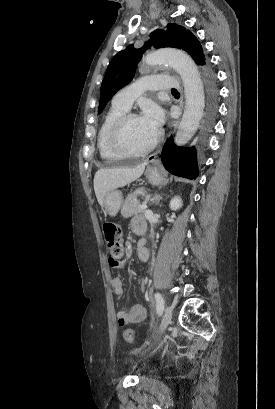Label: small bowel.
<instances>
[{
	"mask_svg": "<svg viewBox=\"0 0 275 409\" xmlns=\"http://www.w3.org/2000/svg\"><path fill=\"white\" fill-rule=\"evenodd\" d=\"M137 220H139V222H140V221L143 220V219H141V218H136V219H134V220H133V223H132L133 228H134L135 222H136ZM134 229H135V228H134ZM142 247L144 248V253H143V254H140V253L138 252V255H139V258H140V260H141L142 262H147L148 259H149V251H148V249H147L146 247H144L143 245H142ZM131 254H132V249H131V247H130V246L126 247V259L123 260L121 263H118V264H114L113 262L116 261V258L113 257V256H110V257L108 258V261L111 263V264L109 265V268H110L111 270H114L116 267H123V266L126 264L127 259L131 256ZM112 287H113L114 293H115L117 296H121V295L123 294V292H124V287H123V282H122V280H121L120 278H114V279L112 280ZM145 287H146V282H145L144 280L140 281V282H139V289H140L141 291H144V290H145ZM117 316H118V322H119V324L122 325V326H124V325H127V324H129V323H134V322H141V321H143V320L145 319V317H146V310H145V308H144L142 305L136 304V305H133V306H131V307H128V308L119 310Z\"/></svg>",
	"mask_w": 275,
	"mask_h": 409,
	"instance_id": "obj_1",
	"label": "small bowel"
}]
</instances>
